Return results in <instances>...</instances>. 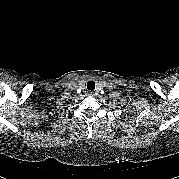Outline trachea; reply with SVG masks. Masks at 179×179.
<instances>
[{"mask_svg":"<svg viewBox=\"0 0 179 179\" xmlns=\"http://www.w3.org/2000/svg\"><path fill=\"white\" fill-rule=\"evenodd\" d=\"M87 89L90 91H94L95 89V82L94 81H88L87 82Z\"/></svg>","mask_w":179,"mask_h":179,"instance_id":"obj_1","label":"trachea"}]
</instances>
